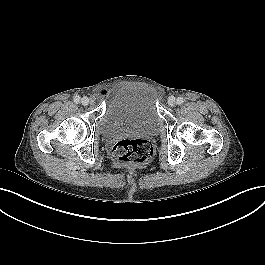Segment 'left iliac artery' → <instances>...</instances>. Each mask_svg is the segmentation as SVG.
<instances>
[{
	"label": "left iliac artery",
	"instance_id": "left-iliac-artery-1",
	"mask_svg": "<svg viewBox=\"0 0 265 265\" xmlns=\"http://www.w3.org/2000/svg\"><path fill=\"white\" fill-rule=\"evenodd\" d=\"M184 102V99L182 97H178L176 103L178 105L182 104Z\"/></svg>",
	"mask_w": 265,
	"mask_h": 265
}]
</instances>
